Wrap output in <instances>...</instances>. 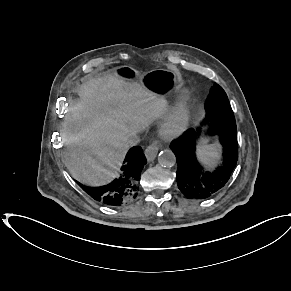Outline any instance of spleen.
<instances>
[{"label": "spleen", "instance_id": "3e777b00", "mask_svg": "<svg viewBox=\"0 0 291 291\" xmlns=\"http://www.w3.org/2000/svg\"><path fill=\"white\" fill-rule=\"evenodd\" d=\"M197 155L207 166H214L219 157V148L215 144L203 145L198 149Z\"/></svg>", "mask_w": 291, "mask_h": 291}]
</instances>
